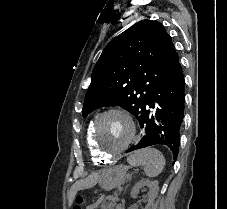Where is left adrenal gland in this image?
Listing matches in <instances>:
<instances>
[{
    "mask_svg": "<svg viewBox=\"0 0 227 209\" xmlns=\"http://www.w3.org/2000/svg\"><path fill=\"white\" fill-rule=\"evenodd\" d=\"M131 177H132V175H127V177H126L127 181H131Z\"/></svg>",
    "mask_w": 227,
    "mask_h": 209,
    "instance_id": "left-adrenal-gland-1",
    "label": "left adrenal gland"
}]
</instances>
